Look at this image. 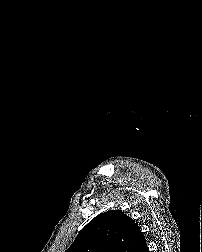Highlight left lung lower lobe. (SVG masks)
Listing matches in <instances>:
<instances>
[{
    "mask_svg": "<svg viewBox=\"0 0 202 252\" xmlns=\"http://www.w3.org/2000/svg\"><path fill=\"white\" fill-rule=\"evenodd\" d=\"M134 252H150L146 243L145 236L140 231L139 237H138V243L136 245V249Z\"/></svg>",
    "mask_w": 202,
    "mask_h": 252,
    "instance_id": "left-lung-lower-lobe-1",
    "label": "left lung lower lobe"
}]
</instances>
